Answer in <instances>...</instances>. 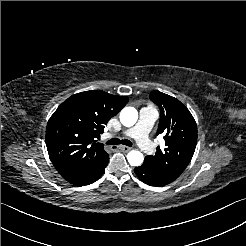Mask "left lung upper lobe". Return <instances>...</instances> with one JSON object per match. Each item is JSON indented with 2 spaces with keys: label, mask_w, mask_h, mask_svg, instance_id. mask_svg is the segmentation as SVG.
<instances>
[{
  "label": "left lung upper lobe",
  "mask_w": 246,
  "mask_h": 246,
  "mask_svg": "<svg viewBox=\"0 0 246 246\" xmlns=\"http://www.w3.org/2000/svg\"><path fill=\"white\" fill-rule=\"evenodd\" d=\"M150 98L160 107L161 119L157 134L163 137L166 147H157L155 156H148L153 166L175 180L186 168L194 154L197 142V125L189 110L176 98L154 90Z\"/></svg>",
  "instance_id": "5c2ea615"
}]
</instances>
